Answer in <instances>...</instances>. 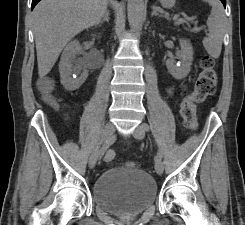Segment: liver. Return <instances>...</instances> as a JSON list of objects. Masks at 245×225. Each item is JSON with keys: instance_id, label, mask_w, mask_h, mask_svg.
I'll return each mask as SVG.
<instances>
[{"instance_id": "liver-1", "label": "liver", "mask_w": 245, "mask_h": 225, "mask_svg": "<svg viewBox=\"0 0 245 225\" xmlns=\"http://www.w3.org/2000/svg\"><path fill=\"white\" fill-rule=\"evenodd\" d=\"M108 0H42L33 10L38 74L45 77L66 44L78 33L99 24Z\"/></svg>"}]
</instances>
